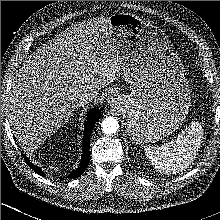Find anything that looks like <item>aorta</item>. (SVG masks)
Masks as SVG:
<instances>
[{
  "mask_svg": "<svg viewBox=\"0 0 220 220\" xmlns=\"http://www.w3.org/2000/svg\"><path fill=\"white\" fill-rule=\"evenodd\" d=\"M105 134H114L119 129V123L114 117H106L101 123Z\"/></svg>",
  "mask_w": 220,
  "mask_h": 220,
  "instance_id": "1",
  "label": "aorta"
}]
</instances>
